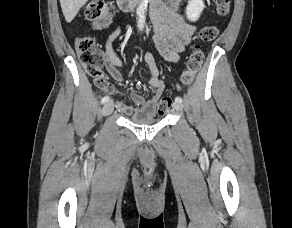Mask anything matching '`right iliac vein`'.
Returning <instances> with one entry per match:
<instances>
[{"instance_id":"63e3f726","label":"right iliac vein","mask_w":292,"mask_h":228,"mask_svg":"<svg viewBox=\"0 0 292 228\" xmlns=\"http://www.w3.org/2000/svg\"><path fill=\"white\" fill-rule=\"evenodd\" d=\"M113 109H114V104L112 101H109L104 105V107L102 109V113L105 116L109 115L113 111Z\"/></svg>"}]
</instances>
